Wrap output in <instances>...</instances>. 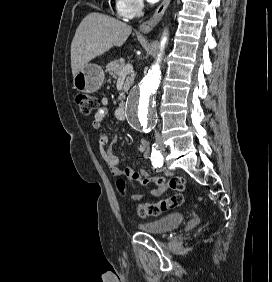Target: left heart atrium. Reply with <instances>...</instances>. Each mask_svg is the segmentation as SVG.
I'll use <instances>...</instances> for the list:
<instances>
[{
  "mask_svg": "<svg viewBox=\"0 0 272 282\" xmlns=\"http://www.w3.org/2000/svg\"><path fill=\"white\" fill-rule=\"evenodd\" d=\"M150 3H156L158 0H148Z\"/></svg>",
  "mask_w": 272,
  "mask_h": 282,
  "instance_id": "obj_1",
  "label": "left heart atrium"
}]
</instances>
